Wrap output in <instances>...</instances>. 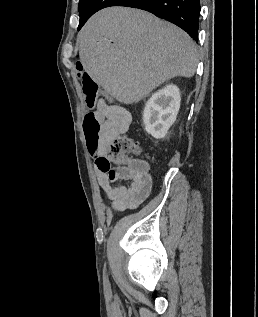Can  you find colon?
Returning a JSON list of instances; mask_svg holds the SVG:
<instances>
[{
    "instance_id": "1",
    "label": "colon",
    "mask_w": 258,
    "mask_h": 317,
    "mask_svg": "<svg viewBox=\"0 0 258 317\" xmlns=\"http://www.w3.org/2000/svg\"><path fill=\"white\" fill-rule=\"evenodd\" d=\"M77 70L89 108L83 119V132L87 147L94 151L107 143L109 157L115 161H124L128 159L129 155L140 154L139 144L125 135L116 136L106 142L105 117L96 108L99 94L98 84L83 71L80 64H77Z\"/></svg>"
}]
</instances>
